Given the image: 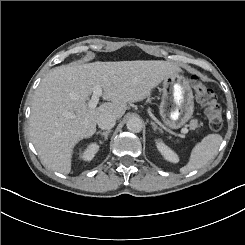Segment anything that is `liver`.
Returning <instances> with one entry per match:
<instances>
[{"label": "liver", "mask_w": 245, "mask_h": 245, "mask_svg": "<svg viewBox=\"0 0 245 245\" xmlns=\"http://www.w3.org/2000/svg\"><path fill=\"white\" fill-rule=\"evenodd\" d=\"M179 71L167 61L153 60L97 61L52 69L35 91L29 119L30 136L42 164L68 174L73 147L96 132L100 114L120 119L128 102L149 97L151 89ZM97 86L109 102L90 109L86 100Z\"/></svg>", "instance_id": "obj_1"}]
</instances>
